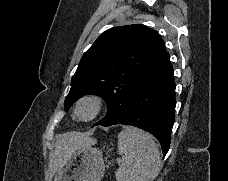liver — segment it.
<instances>
[{
  "mask_svg": "<svg viewBox=\"0 0 228 181\" xmlns=\"http://www.w3.org/2000/svg\"><path fill=\"white\" fill-rule=\"evenodd\" d=\"M89 145H95V141L87 133L58 135V139L55 141V153H52L49 163L50 177H53L56 171H59L61 167L68 163L73 149H76V147H89Z\"/></svg>",
  "mask_w": 228,
  "mask_h": 181,
  "instance_id": "obj_1",
  "label": "liver"
}]
</instances>
